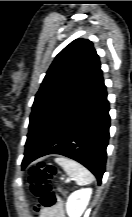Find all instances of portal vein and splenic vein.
Returning <instances> with one entry per match:
<instances>
[{"mask_svg":"<svg viewBox=\"0 0 132 217\" xmlns=\"http://www.w3.org/2000/svg\"><path fill=\"white\" fill-rule=\"evenodd\" d=\"M65 182H69V179H66Z\"/></svg>","mask_w":132,"mask_h":217,"instance_id":"18ae733b","label":"portal vein and splenic vein"}]
</instances>
